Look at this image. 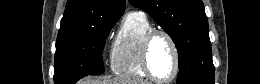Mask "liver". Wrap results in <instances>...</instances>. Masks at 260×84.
I'll use <instances>...</instances> for the list:
<instances>
[{
	"label": "liver",
	"mask_w": 260,
	"mask_h": 84,
	"mask_svg": "<svg viewBox=\"0 0 260 84\" xmlns=\"http://www.w3.org/2000/svg\"><path fill=\"white\" fill-rule=\"evenodd\" d=\"M79 84H149L147 81L139 79H112V80H95L90 77H87L80 81Z\"/></svg>",
	"instance_id": "liver-1"
}]
</instances>
